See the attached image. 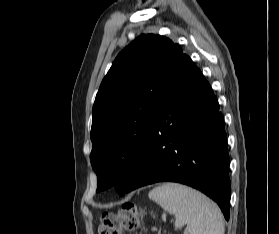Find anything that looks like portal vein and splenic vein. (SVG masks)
Instances as JSON below:
<instances>
[{
  "label": "portal vein and splenic vein",
  "mask_w": 279,
  "mask_h": 234,
  "mask_svg": "<svg viewBox=\"0 0 279 234\" xmlns=\"http://www.w3.org/2000/svg\"><path fill=\"white\" fill-rule=\"evenodd\" d=\"M155 230H157V228H156V227H153V228H152V231H155Z\"/></svg>",
  "instance_id": "portal-vein-and-splenic-vein-1"
}]
</instances>
